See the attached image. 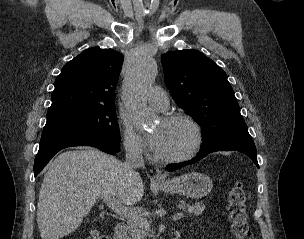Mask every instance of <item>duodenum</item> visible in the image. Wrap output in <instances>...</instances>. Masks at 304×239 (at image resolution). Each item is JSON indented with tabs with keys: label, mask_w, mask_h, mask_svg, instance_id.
Returning <instances> with one entry per match:
<instances>
[{
	"label": "duodenum",
	"mask_w": 304,
	"mask_h": 239,
	"mask_svg": "<svg viewBox=\"0 0 304 239\" xmlns=\"http://www.w3.org/2000/svg\"><path fill=\"white\" fill-rule=\"evenodd\" d=\"M114 239H128V226L126 223H119L116 225Z\"/></svg>",
	"instance_id": "1"
}]
</instances>
